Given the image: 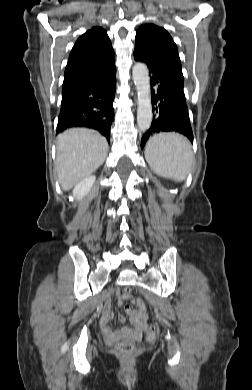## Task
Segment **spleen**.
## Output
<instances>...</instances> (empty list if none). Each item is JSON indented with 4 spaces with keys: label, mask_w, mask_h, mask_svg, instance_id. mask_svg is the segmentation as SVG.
Returning <instances> with one entry per match:
<instances>
[{
    "label": "spleen",
    "mask_w": 252,
    "mask_h": 390,
    "mask_svg": "<svg viewBox=\"0 0 252 390\" xmlns=\"http://www.w3.org/2000/svg\"><path fill=\"white\" fill-rule=\"evenodd\" d=\"M145 158L159 176L182 181L193 160L189 141L179 134L160 133L148 141Z\"/></svg>",
    "instance_id": "spleen-1"
}]
</instances>
